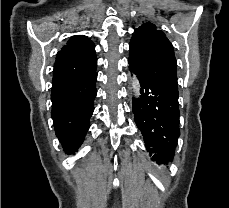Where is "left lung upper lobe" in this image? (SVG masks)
Instances as JSON below:
<instances>
[{
  "label": "left lung upper lobe",
  "mask_w": 229,
  "mask_h": 208,
  "mask_svg": "<svg viewBox=\"0 0 229 208\" xmlns=\"http://www.w3.org/2000/svg\"><path fill=\"white\" fill-rule=\"evenodd\" d=\"M129 60L141 74L178 94L173 46L161 30L147 22L135 28L129 44Z\"/></svg>",
  "instance_id": "1"
}]
</instances>
